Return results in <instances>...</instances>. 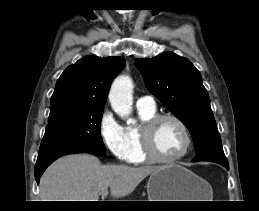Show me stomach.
I'll return each instance as SVG.
<instances>
[{"label":"stomach","instance_id":"1","mask_svg":"<svg viewBox=\"0 0 259 211\" xmlns=\"http://www.w3.org/2000/svg\"><path fill=\"white\" fill-rule=\"evenodd\" d=\"M147 192L149 201H207L211 188L187 168L169 164L151 174Z\"/></svg>","mask_w":259,"mask_h":211}]
</instances>
